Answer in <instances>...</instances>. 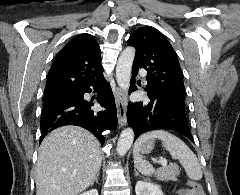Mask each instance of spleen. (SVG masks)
<instances>
[{"instance_id":"3e777b00","label":"spleen","mask_w":240,"mask_h":195,"mask_svg":"<svg viewBox=\"0 0 240 195\" xmlns=\"http://www.w3.org/2000/svg\"><path fill=\"white\" fill-rule=\"evenodd\" d=\"M155 137L161 139L163 147L169 151L173 159H179L190 179H201L203 171L195 153L191 151L190 147H188L180 137H176V135L169 133V131H165V129L146 131V133H142L137 141H135L133 159L135 167H137L142 175H152L155 169L149 161H146V159H143L142 155H140L139 143L147 141V139H155Z\"/></svg>"}]
</instances>
